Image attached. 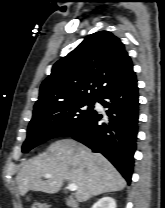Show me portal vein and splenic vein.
I'll return each instance as SVG.
<instances>
[{"instance_id":"18ae733b","label":"portal vein and splenic vein","mask_w":165,"mask_h":208,"mask_svg":"<svg viewBox=\"0 0 165 208\" xmlns=\"http://www.w3.org/2000/svg\"><path fill=\"white\" fill-rule=\"evenodd\" d=\"M45 177H46V178H50L51 175H50V174H46ZM68 189H69L70 191H76L77 185L74 184V183H69Z\"/></svg>"}]
</instances>
